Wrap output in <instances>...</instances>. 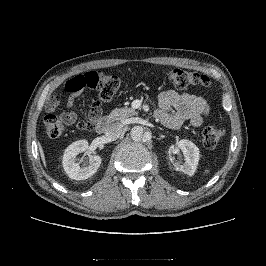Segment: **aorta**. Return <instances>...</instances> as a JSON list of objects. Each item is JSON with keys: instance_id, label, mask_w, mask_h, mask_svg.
I'll use <instances>...</instances> for the list:
<instances>
[{"instance_id": "aorta-1", "label": "aorta", "mask_w": 266, "mask_h": 266, "mask_svg": "<svg viewBox=\"0 0 266 266\" xmlns=\"http://www.w3.org/2000/svg\"><path fill=\"white\" fill-rule=\"evenodd\" d=\"M130 136L132 140L134 141H150L151 139V133L145 132L144 128L142 126H134L131 129Z\"/></svg>"}]
</instances>
